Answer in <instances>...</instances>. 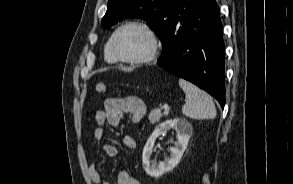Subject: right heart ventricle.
<instances>
[{"instance_id": "e07e8e85", "label": "right heart ventricle", "mask_w": 293, "mask_h": 184, "mask_svg": "<svg viewBox=\"0 0 293 184\" xmlns=\"http://www.w3.org/2000/svg\"><path fill=\"white\" fill-rule=\"evenodd\" d=\"M104 59L107 63L110 64H114L116 63L115 58L112 56L111 51H110V38L109 40L106 42L105 46H104Z\"/></svg>"}]
</instances>
